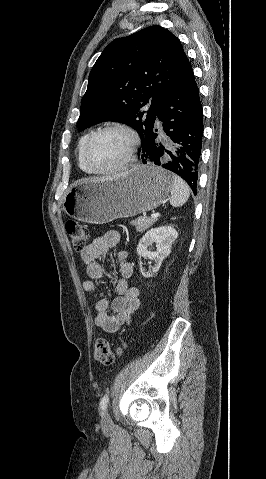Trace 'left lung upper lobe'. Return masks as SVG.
<instances>
[{
    "mask_svg": "<svg viewBox=\"0 0 266 479\" xmlns=\"http://www.w3.org/2000/svg\"><path fill=\"white\" fill-rule=\"evenodd\" d=\"M190 67L179 39L160 26L112 41L90 72L78 128L125 123L140 135L143 153L161 103ZM149 102L144 116L141 108Z\"/></svg>",
    "mask_w": 266,
    "mask_h": 479,
    "instance_id": "5c2ea615",
    "label": "left lung upper lobe"
}]
</instances>
